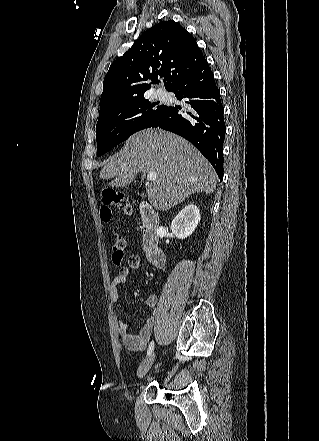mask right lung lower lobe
Listing matches in <instances>:
<instances>
[{"label":"right lung lower lobe","mask_w":319,"mask_h":441,"mask_svg":"<svg viewBox=\"0 0 319 441\" xmlns=\"http://www.w3.org/2000/svg\"><path fill=\"white\" fill-rule=\"evenodd\" d=\"M168 91L174 92L179 100L186 99L190 108L165 106L152 127L168 130L190 141L209 160L222 180V151L226 132L224 108L207 61L181 78ZM179 110H183V114H179Z\"/></svg>","instance_id":"1"}]
</instances>
